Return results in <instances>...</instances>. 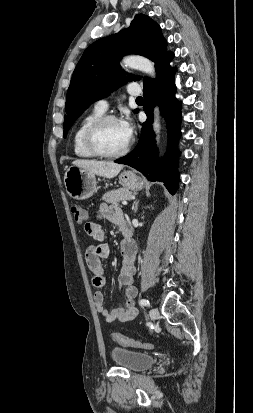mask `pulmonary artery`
Returning a JSON list of instances; mask_svg holds the SVG:
<instances>
[{"label": "pulmonary artery", "instance_id": "1", "mask_svg": "<svg viewBox=\"0 0 253 413\" xmlns=\"http://www.w3.org/2000/svg\"><path fill=\"white\" fill-rule=\"evenodd\" d=\"M127 92L131 96H139L141 89L136 83H131L127 86ZM95 109L101 112H105L108 109V101L106 99H100L95 103Z\"/></svg>", "mask_w": 253, "mask_h": 413}]
</instances>
